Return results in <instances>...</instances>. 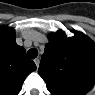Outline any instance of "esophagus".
<instances>
[{"label": "esophagus", "instance_id": "obj_1", "mask_svg": "<svg viewBox=\"0 0 95 95\" xmlns=\"http://www.w3.org/2000/svg\"><path fill=\"white\" fill-rule=\"evenodd\" d=\"M34 62L36 63L37 67L39 65V60L38 59H35Z\"/></svg>", "mask_w": 95, "mask_h": 95}]
</instances>
